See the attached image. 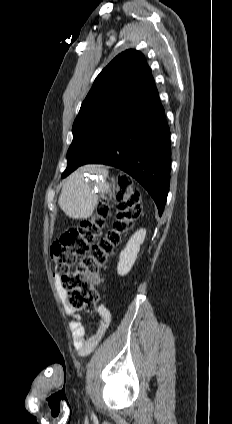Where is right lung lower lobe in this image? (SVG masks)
<instances>
[{"label": "right lung lower lobe", "instance_id": "right-lung-lower-lobe-1", "mask_svg": "<svg viewBox=\"0 0 232 424\" xmlns=\"http://www.w3.org/2000/svg\"><path fill=\"white\" fill-rule=\"evenodd\" d=\"M170 134L159 95L132 106L127 123L112 131L84 160L117 167L135 178L162 215L170 183Z\"/></svg>", "mask_w": 232, "mask_h": 424}]
</instances>
